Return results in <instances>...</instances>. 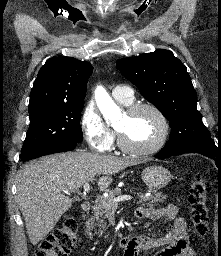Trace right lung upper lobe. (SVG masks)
I'll return each mask as SVG.
<instances>
[{"label":"right lung upper lobe","mask_w":221,"mask_h":256,"mask_svg":"<svg viewBox=\"0 0 221 256\" xmlns=\"http://www.w3.org/2000/svg\"><path fill=\"white\" fill-rule=\"evenodd\" d=\"M92 71L93 66L89 62L73 57L55 56L48 59L34 81L29 110L84 102Z\"/></svg>","instance_id":"obj_1"}]
</instances>
